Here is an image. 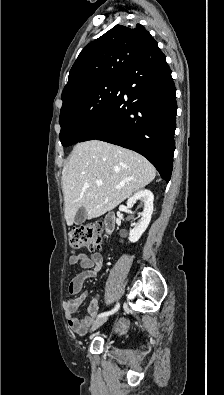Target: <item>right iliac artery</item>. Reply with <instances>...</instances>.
<instances>
[{
  "instance_id": "1",
  "label": "right iliac artery",
  "mask_w": 224,
  "mask_h": 395,
  "mask_svg": "<svg viewBox=\"0 0 224 395\" xmlns=\"http://www.w3.org/2000/svg\"><path fill=\"white\" fill-rule=\"evenodd\" d=\"M119 307H120V305H119V303H117L116 306H115L112 310L107 311V312L100 313V314L97 316V318H101V317H105V316L112 315V314H114L115 312L118 311Z\"/></svg>"
}]
</instances>
